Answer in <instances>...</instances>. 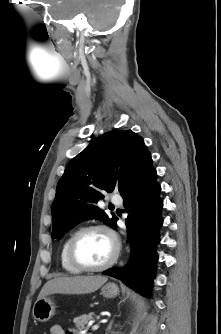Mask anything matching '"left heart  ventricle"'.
I'll return each instance as SVG.
<instances>
[{"instance_id":"obj_1","label":"left heart ventricle","mask_w":221,"mask_h":334,"mask_svg":"<svg viewBox=\"0 0 221 334\" xmlns=\"http://www.w3.org/2000/svg\"><path fill=\"white\" fill-rule=\"evenodd\" d=\"M114 250L111 237L102 230H92L83 234L75 247L76 257L88 266L104 264Z\"/></svg>"}]
</instances>
